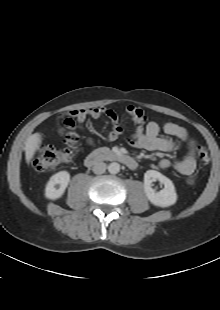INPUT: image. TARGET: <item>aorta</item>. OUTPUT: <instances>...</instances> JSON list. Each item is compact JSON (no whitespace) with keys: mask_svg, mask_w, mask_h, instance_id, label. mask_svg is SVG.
<instances>
[{"mask_svg":"<svg viewBox=\"0 0 220 310\" xmlns=\"http://www.w3.org/2000/svg\"><path fill=\"white\" fill-rule=\"evenodd\" d=\"M108 171L111 174H117L120 171V164L117 162H112L108 165Z\"/></svg>","mask_w":220,"mask_h":310,"instance_id":"1","label":"aorta"}]
</instances>
